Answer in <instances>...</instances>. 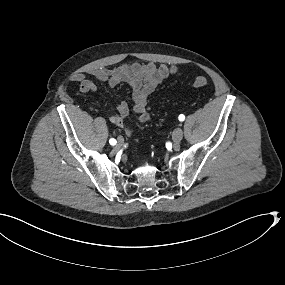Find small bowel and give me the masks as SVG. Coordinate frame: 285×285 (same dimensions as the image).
<instances>
[{
	"label": "small bowel",
	"mask_w": 285,
	"mask_h": 285,
	"mask_svg": "<svg viewBox=\"0 0 285 285\" xmlns=\"http://www.w3.org/2000/svg\"><path fill=\"white\" fill-rule=\"evenodd\" d=\"M179 68L175 65L149 63H125L115 68H100L88 72V75L98 81L116 86L126 83L132 88L133 111L138 114V125L149 121L150 115L147 111V99L149 95L165 79L178 75ZM73 80L78 84L81 93H89L97 90V85L85 74H77ZM130 108L126 101H121L116 112L110 116L111 122L118 128H122L128 135H132L134 128L125 127L124 120L129 114Z\"/></svg>",
	"instance_id": "obj_1"
}]
</instances>
